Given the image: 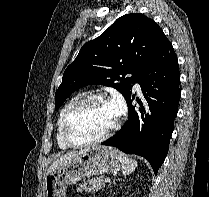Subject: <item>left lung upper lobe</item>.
I'll return each instance as SVG.
<instances>
[{"mask_svg":"<svg viewBox=\"0 0 209 197\" xmlns=\"http://www.w3.org/2000/svg\"><path fill=\"white\" fill-rule=\"evenodd\" d=\"M166 39L159 25L145 15L121 16L99 37L82 46L67 67L55 93V110L72 92L89 84L113 87L126 99L140 72Z\"/></svg>","mask_w":209,"mask_h":197,"instance_id":"left-lung-upper-lobe-1","label":"left lung upper lobe"}]
</instances>
